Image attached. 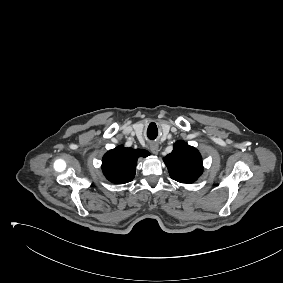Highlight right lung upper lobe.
<instances>
[{"label":"right lung upper lobe","instance_id":"cb5924a9","mask_svg":"<svg viewBox=\"0 0 283 283\" xmlns=\"http://www.w3.org/2000/svg\"><path fill=\"white\" fill-rule=\"evenodd\" d=\"M146 150L126 148L123 145L108 151L102 160L105 177L112 183L123 184L133 180L139 157H147Z\"/></svg>","mask_w":283,"mask_h":283}]
</instances>
